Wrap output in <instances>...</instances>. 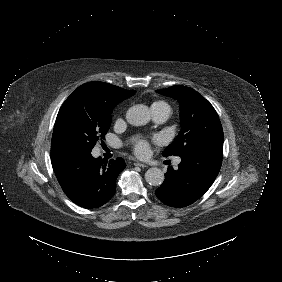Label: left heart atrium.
I'll return each mask as SVG.
<instances>
[{
	"label": "left heart atrium",
	"mask_w": 282,
	"mask_h": 282,
	"mask_svg": "<svg viewBox=\"0 0 282 282\" xmlns=\"http://www.w3.org/2000/svg\"><path fill=\"white\" fill-rule=\"evenodd\" d=\"M136 153L140 157H145L148 154V146L146 143H140L136 148Z\"/></svg>",
	"instance_id": "left-heart-atrium-1"
}]
</instances>
